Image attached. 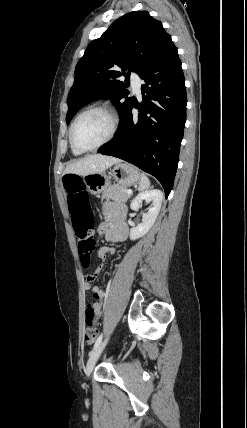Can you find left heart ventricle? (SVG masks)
I'll list each match as a JSON object with an SVG mask.
<instances>
[{
    "mask_svg": "<svg viewBox=\"0 0 247 428\" xmlns=\"http://www.w3.org/2000/svg\"><path fill=\"white\" fill-rule=\"evenodd\" d=\"M110 119L101 111L83 115L76 123L74 140L80 147H93L102 142L110 131Z\"/></svg>",
    "mask_w": 247,
    "mask_h": 428,
    "instance_id": "left-heart-ventricle-1",
    "label": "left heart ventricle"
}]
</instances>
